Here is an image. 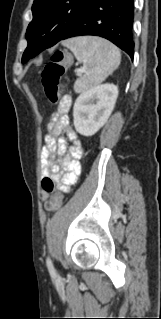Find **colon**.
<instances>
[{"label":"colon","mask_w":161,"mask_h":319,"mask_svg":"<svg viewBox=\"0 0 161 319\" xmlns=\"http://www.w3.org/2000/svg\"><path fill=\"white\" fill-rule=\"evenodd\" d=\"M69 57L64 52L58 51L50 58L44 69L40 73V84L42 90L51 103H58L59 91L58 86L61 78L65 73V67ZM65 112L68 106L63 105ZM42 189L48 194H52L51 199L47 202L49 210H58L62 205V196L55 191V182L51 178H45L42 181Z\"/></svg>","instance_id":"1"}]
</instances>
